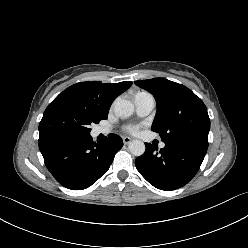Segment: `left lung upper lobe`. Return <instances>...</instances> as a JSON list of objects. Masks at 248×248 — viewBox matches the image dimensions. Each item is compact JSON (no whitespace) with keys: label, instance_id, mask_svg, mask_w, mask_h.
I'll return each mask as SVG.
<instances>
[{"label":"left lung upper lobe","instance_id":"obj_1","mask_svg":"<svg viewBox=\"0 0 248 248\" xmlns=\"http://www.w3.org/2000/svg\"><path fill=\"white\" fill-rule=\"evenodd\" d=\"M135 84L156 99L152 130L164 143L199 141L208 143L210 119L202 100L182 84L163 78L137 80Z\"/></svg>","mask_w":248,"mask_h":248}]
</instances>
